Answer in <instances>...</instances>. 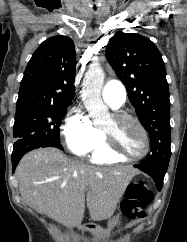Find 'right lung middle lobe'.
<instances>
[{
    "mask_svg": "<svg viewBox=\"0 0 187 242\" xmlns=\"http://www.w3.org/2000/svg\"><path fill=\"white\" fill-rule=\"evenodd\" d=\"M67 107L25 106L16 108L13 136L60 142V125Z\"/></svg>",
    "mask_w": 187,
    "mask_h": 242,
    "instance_id": "obj_1",
    "label": "right lung middle lobe"
}]
</instances>
